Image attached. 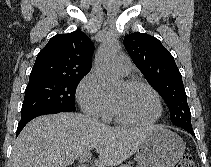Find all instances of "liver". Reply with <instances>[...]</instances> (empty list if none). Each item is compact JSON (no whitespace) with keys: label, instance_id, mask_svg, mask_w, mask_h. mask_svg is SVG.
<instances>
[{"label":"liver","instance_id":"obj_1","mask_svg":"<svg viewBox=\"0 0 211 167\" xmlns=\"http://www.w3.org/2000/svg\"><path fill=\"white\" fill-rule=\"evenodd\" d=\"M154 127L114 128L77 113L40 116L19 134L10 167H67L93 149L97 167L116 166L137 152Z\"/></svg>","mask_w":211,"mask_h":167}]
</instances>
